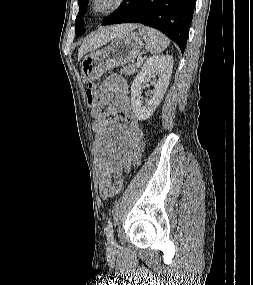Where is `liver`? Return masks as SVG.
Wrapping results in <instances>:
<instances>
[{"instance_id": "obj_1", "label": "liver", "mask_w": 253, "mask_h": 285, "mask_svg": "<svg viewBox=\"0 0 253 285\" xmlns=\"http://www.w3.org/2000/svg\"><path fill=\"white\" fill-rule=\"evenodd\" d=\"M136 27L137 26L133 24H122L101 29L100 31L90 35L84 40L78 50V60H80L87 52H91L121 35L130 33Z\"/></svg>"}]
</instances>
